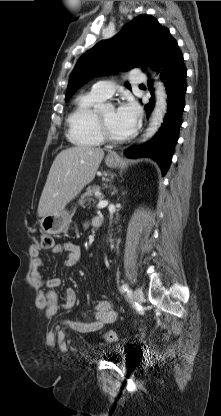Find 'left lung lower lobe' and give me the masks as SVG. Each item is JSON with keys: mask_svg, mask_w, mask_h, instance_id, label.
<instances>
[{"mask_svg": "<svg viewBox=\"0 0 221 416\" xmlns=\"http://www.w3.org/2000/svg\"><path fill=\"white\" fill-rule=\"evenodd\" d=\"M183 55L176 40L169 30L163 35L159 46L155 50L149 65L158 73L165 83L168 106L164 122L156 135L144 146L133 147L125 155L130 158L151 157L161 167L165 175L170 164L174 147L179 138V129L182 124V113L185 107L184 96L186 92V69L183 64ZM149 82V88H151ZM153 94V90L151 91ZM154 107V97L145 105L147 116Z\"/></svg>", "mask_w": 221, "mask_h": 416, "instance_id": "left-lung-lower-lobe-1", "label": "left lung lower lobe"}]
</instances>
